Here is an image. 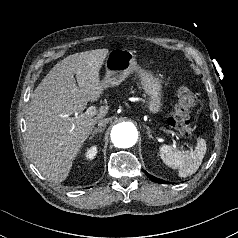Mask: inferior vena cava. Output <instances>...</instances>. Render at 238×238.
<instances>
[{"mask_svg": "<svg viewBox=\"0 0 238 238\" xmlns=\"http://www.w3.org/2000/svg\"><path fill=\"white\" fill-rule=\"evenodd\" d=\"M108 122H109L108 118L101 119V120L98 121V126L104 127Z\"/></svg>", "mask_w": 238, "mask_h": 238, "instance_id": "602c4592", "label": "inferior vena cava"}]
</instances>
